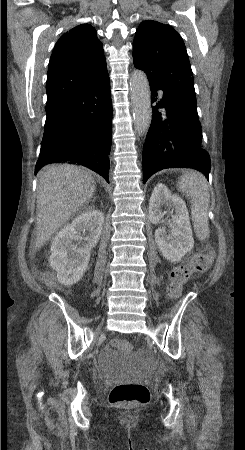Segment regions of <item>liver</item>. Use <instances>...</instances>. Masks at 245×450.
Masks as SVG:
<instances>
[{"label": "liver", "instance_id": "1", "mask_svg": "<svg viewBox=\"0 0 245 450\" xmlns=\"http://www.w3.org/2000/svg\"><path fill=\"white\" fill-rule=\"evenodd\" d=\"M96 183L86 171L69 164L49 165L40 172L37 188L35 250H39L90 201Z\"/></svg>", "mask_w": 245, "mask_h": 450}]
</instances>
